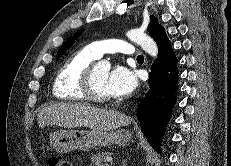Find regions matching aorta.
<instances>
[{
    "instance_id": "762f6f07",
    "label": "aorta",
    "mask_w": 231,
    "mask_h": 166,
    "mask_svg": "<svg viewBox=\"0 0 231 166\" xmlns=\"http://www.w3.org/2000/svg\"><path fill=\"white\" fill-rule=\"evenodd\" d=\"M127 37L141 46L151 57L156 58L158 55V47L155 41L139 29H131L126 33ZM97 67L106 71L110 70L111 64L107 60H102L97 63Z\"/></svg>"
}]
</instances>
